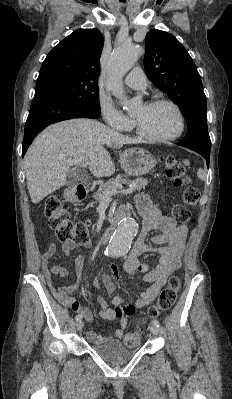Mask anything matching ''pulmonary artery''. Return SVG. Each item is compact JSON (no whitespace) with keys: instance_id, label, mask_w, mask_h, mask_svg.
Instances as JSON below:
<instances>
[{"instance_id":"pulmonary-artery-1","label":"pulmonary artery","mask_w":232,"mask_h":399,"mask_svg":"<svg viewBox=\"0 0 232 399\" xmlns=\"http://www.w3.org/2000/svg\"><path fill=\"white\" fill-rule=\"evenodd\" d=\"M126 83L128 85L127 90H140L141 96L147 95V90L143 89L141 84H146L145 73H140L139 69H132L130 77L126 78Z\"/></svg>"}]
</instances>
